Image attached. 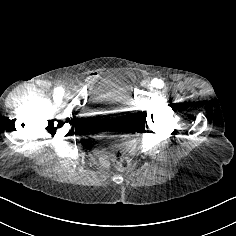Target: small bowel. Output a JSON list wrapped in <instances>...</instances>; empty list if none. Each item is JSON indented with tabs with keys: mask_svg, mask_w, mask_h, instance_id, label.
<instances>
[{
	"mask_svg": "<svg viewBox=\"0 0 236 236\" xmlns=\"http://www.w3.org/2000/svg\"><path fill=\"white\" fill-rule=\"evenodd\" d=\"M91 77H92V79H93V78H96V77H97V74H93Z\"/></svg>",
	"mask_w": 236,
	"mask_h": 236,
	"instance_id": "1",
	"label": "small bowel"
}]
</instances>
